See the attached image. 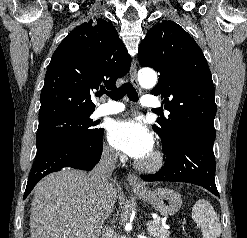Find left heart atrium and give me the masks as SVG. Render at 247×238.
<instances>
[{
  "label": "left heart atrium",
  "instance_id": "obj_1",
  "mask_svg": "<svg viewBox=\"0 0 247 238\" xmlns=\"http://www.w3.org/2000/svg\"><path fill=\"white\" fill-rule=\"evenodd\" d=\"M108 140L116 149L138 159L149 156L154 144L151 133L136 119L114 121L108 130Z\"/></svg>",
  "mask_w": 247,
  "mask_h": 238
}]
</instances>
